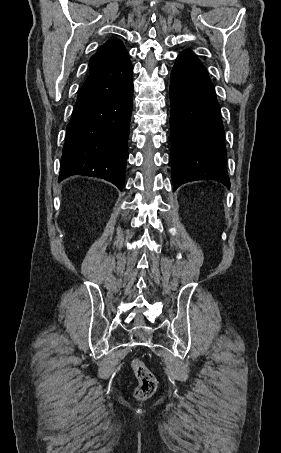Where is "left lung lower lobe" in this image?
Wrapping results in <instances>:
<instances>
[{
	"label": "left lung lower lobe",
	"instance_id": "left-lung-lower-lobe-1",
	"mask_svg": "<svg viewBox=\"0 0 281 453\" xmlns=\"http://www.w3.org/2000/svg\"><path fill=\"white\" fill-rule=\"evenodd\" d=\"M170 103L174 190L202 179L215 180L229 188L219 104L206 68L190 50L176 59Z\"/></svg>",
	"mask_w": 281,
	"mask_h": 453
}]
</instances>
